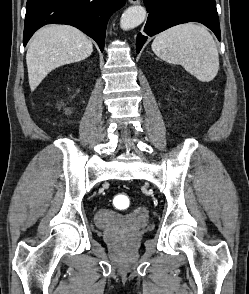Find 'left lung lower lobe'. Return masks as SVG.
<instances>
[{"label": "left lung lower lobe", "instance_id": "left-lung-lower-lobe-1", "mask_svg": "<svg viewBox=\"0 0 249 294\" xmlns=\"http://www.w3.org/2000/svg\"><path fill=\"white\" fill-rule=\"evenodd\" d=\"M149 12L144 34L139 33L136 51L139 53L147 36H153L172 26L190 21L210 28L221 40L215 0H144Z\"/></svg>", "mask_w": 249, "mask_h": 294}]
</instances>
